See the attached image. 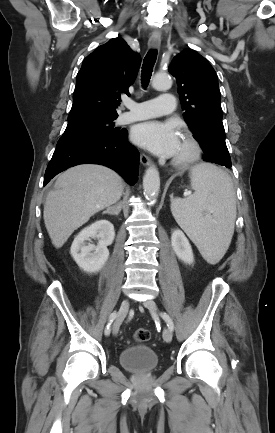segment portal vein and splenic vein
<instances>
[{
	"label": "portal vein and splenic vein",
	"mask_w": 275,
	"mask_h": 433,
	"mask_svg": "<svg viewBox=\"0 0 275 433\" xmlns=\"http://www.w3.org/2000/svg\"><path fill=\"white\" fill-rule=\"evenodd\" d=\"M190 194H191L190 191H186V192L184 193L185 196H188V195H190Z\"/></svg>",
	"instance_id": "1"
}]
</instances>
